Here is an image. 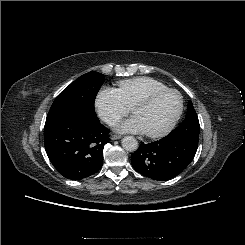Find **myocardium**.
Segmentation results:
<instances>
[{"instance_id":"f54148a6","label":"myocardium","mask_w":245,"mask_h":245,"mask_svg":"<svg viewBox=\"0 0 245 245\" xmlns=\"http://www.w3.org/2000/svg\"><path fill=\"white\" fill-rule=\"evenodd\" d=\"M167 93H174L178 96L179 102H180L179 103V109H178L175 117L172 119V121L165 128H163L159 131H156V132H144V134L149 138L163 137V136L169 134L175 128V126L179 122V120L183 114V111H184V98H183L182 94L176 89L167 88V89L154 91V92H151L149 94L143 95V96L139 97L137 100H135L131 105V112L133 113L134 108L136 106L149 104L153 100H155L156 98H158L164 94H167Z\"/></svg>"}]
</instances>
